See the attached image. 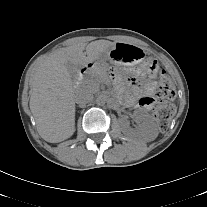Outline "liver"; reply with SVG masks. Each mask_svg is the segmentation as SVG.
Segmentation results:
<instances>
[{"label": "liver", "mask_w": 207, "mask_h": 207, "mask_svg": "<svg viewBox=\"0 0 207 207\" xmlns=\"http://www.w3.org/2000/svg\"><path fill=\"white\" fill-rule=\"evenodd\" d=\"M114 44L108 40L80 42L57 50L37 66L30 79L29 106L38 133L45 141L59 143L75 132L77 90L65 64L87 67L101 59Z\"/></svg>", "instance_id": "6515ba94"}]
</instances>
